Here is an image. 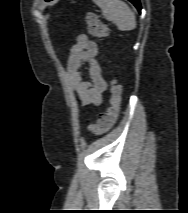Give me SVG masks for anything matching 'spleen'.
Returning a JSON list of instances; mask_svg holds the SVG:
<instances>
[{"label": "spleen", "instance_id": "3e777b00", "mask_svg": "<svg viewBox=\"0 0 188 213\" xmlns=\"http://www.w3.org/2000/svg\"><path fill=\"white\" fill-rule=\"evenodd\" d=\"M108 21L116 24L120 31L136 28V18L130 7L121 0H93Z\"/></svg>", "mask_w": 188, "mask_h": 213}]
</instances>
